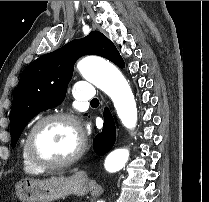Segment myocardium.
I'll return each instance as SVG.
<instances>
[{
    "label": "myocardium",
    "instance_id": "f54148a6",
    "mask_svg": "<svg viewBox=\"0 0 209 202\" xmlns=\"http://www.w3.org/2000/svg\"><path fill=\"white\" fill-rule=\"evenodd\" d=\"M50 121L67 122L71 124L72 126H74L79 133V143L75 152L68 158L58 161V162H45V161L38 159L34 155L33 148H32V141H33L35 132L43 124L50 122ZM85 148H86V138H85V134L81 128V125L78 119L64 112H56V113L48 114L38 119L28 131L26 140H25V146H24L25 154L29 162L40 170H56V169L66 168L69 165L73 164L75 161H77L83 155Z\"/></svg>",
    "mask_w": 209,
    "mask_h": 202
}]
</instances>
